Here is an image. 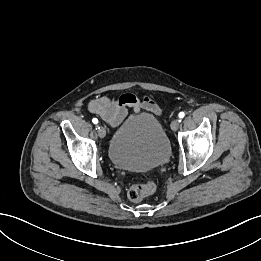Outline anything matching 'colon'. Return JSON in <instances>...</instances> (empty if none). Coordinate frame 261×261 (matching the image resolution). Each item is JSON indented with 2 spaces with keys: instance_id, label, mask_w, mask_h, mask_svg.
Masks as SVG:
<instances>
[{
  "instance_id": "obj_1",
  "label": "colon",
  "mask_w": 261,
  "mask_h": 261,
  "mask_svg": "<svg viewBox=\"0 0 261 261\" xmlns=\"http://www.w3.org/2000/svg\"><path fill=\"white\" fill-rule=\"evenodd\" d=\"M156 185L152 180L145 183L134 184L128 190V198L133 202H139L155 191Z\"/></svg>"
}]
</instances>
